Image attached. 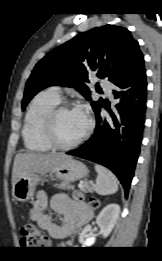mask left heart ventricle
<instances>
[{"label":"left heart ventricle","instance_id":"1","mask_svg":"<svg viewBox=\"0 0 162 261\" xmlns=\"http://www.w3.org/2000/svg\"><path fill=\"white\" fill-rule=\"evenodd\" d=\"M85 129V124L75 110L63 111L56 119V136L62 143H71L75 141L83 134Z\"/></svg>","mask_w":162,"mask_h":261}]
</instances>
